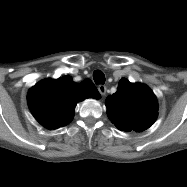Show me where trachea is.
Listing matches in <instances>:
<instances>
[{"label": "trachea", "mask_w": 187, "mask_h": 187, "mask_svg": "<svg viewBox=\"0 0 187 187\" xmlns=\"http://www.w3.org/2000/svg\"><path fill=\"white\" fill-rule=\"evenodd\" d=\"M93 79L96 84H104L105 83V75L100 70H95L93 72Z\"/></svg>", "instance_id": "trachea-1"}]
</instances>
